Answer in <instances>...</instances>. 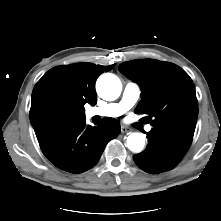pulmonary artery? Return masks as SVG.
I'll use <instances>...</instances> for the list:
<instances>
[{
	"label": "pulmonary artery",
	"instance_id": "obj_1",
	"mask_svg": "<svg viewBox=\"0 0 221 221\" xmlns=\"http://www.w3.org/2000/svg\"><path fill=\"white\" fill-rule=\"evenodd\" d=\"M141 87L135 82H128L123 90L121 100L119 102L109 103L100 107L90 108L88 115L90 117H118L131 109L140 98ZM152 129L151 125L146 126V131Z\"/></svg>",
	"mask_w": 221,
	"mask_h": 221
}]
</instances>
